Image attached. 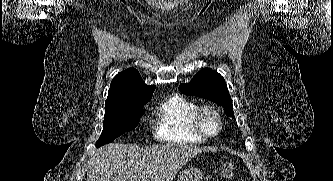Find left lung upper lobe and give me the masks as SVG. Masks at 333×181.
I'll return each instance as SVG.
<instances>
[{
    "label": "left lung upper lobe",
    "mask_w": 333,
    "mask_h": 181,
    "mask_svg": "<svg viewBox=\"0 0 333 181\" xmlns=\"http://www.w3.org/2000/svg\"><path fill=\"white\" fill-rule=\"evenodd\" d=\"M179 90L186 94L209 99L224 108L228 117H234L232 99L224 78L212 69H202L191 82L180 84Z\"/></svg>",
    "instance_id": "obj_1"
}]
</instances>
